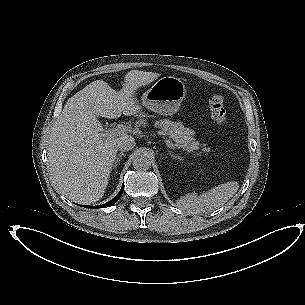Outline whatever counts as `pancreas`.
<instances>
[{
	"mask_svg": "<svg viewBox=\"0 0 305 305\" xmlns=\"http://www.w3.org/2000/svg\"><path fill=\"white\" fill-rule=\"evenodd\" d=\"M159 126L175 142V145L178 148H182L183 151L191 153L199 149L200 143L194 139V131L184 127L180 122L163 120ZM196 155L200 156L201 152Z\"/></svg>",
	"mask_w": 305,
	"mask_h": 305,
	"instance_id": "pancreas-1",
	"label": "pancreas"
}]
</instances>
